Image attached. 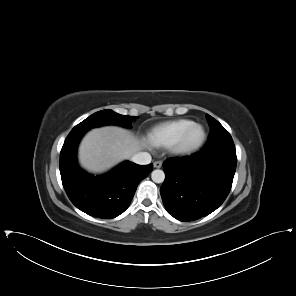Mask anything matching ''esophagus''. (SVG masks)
Here are the masks:
<instances>
[{"instance_id":"34e87169","label":"esophagus","mask_w":296,"mask_h":296,"mask_svg":"<svg viewBox=\"0 0 296 296\" xmlns=\"http://www.w3.org/2000/svg\"><path fill=\"white\" fill-rule=\"evenodd\" d=\"M153 166H154V168H157V169L161 168L162 167V161H155L153 163Z\"/></svg>"}]
</instances>
